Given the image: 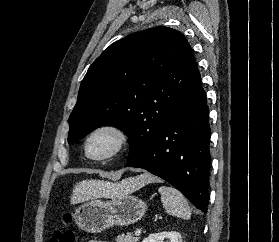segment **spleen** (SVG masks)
<instances>
[{
	"label": "spleen",
	"mask_w": 279,
	"mask_h": 242,
	"mask_svg": "<svg viewBox=\"0 0 279 242\" xmlns=\"http://www.w3.org/2000/svg\"><path fill=\"white\" fill-rule=\"evenodd\" d=\"M158 192L161 195L162 204L170 215L189 219L191 211L183 194L173 187L160 186Z\"/></svg>",
	"instance_id": "1"
}]
</instances>
